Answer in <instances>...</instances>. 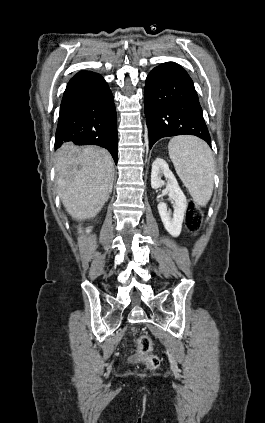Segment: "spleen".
Returning a JSON list of instances; mask_svg holds the SVG:
<instances>
[{
  "mask_svg": "<svg viewBox=\"0 0 265 423\" xmlns=\"http://www.w3.org/2000/svg\"><path fill=\"white\" fill-rule=\"evenodd\" d=\"M169 156L193 201L206 206L214 187V159L209 146L197 137L178 136L170 140Z\"/></svg>",
  "mask_w": 265,
  "mask_h": 423,
  "instance_id": "spleen-1",
  "label": "spleen"
}]
</instances>
